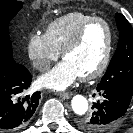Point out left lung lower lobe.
Instances as JSON below:
<instances>
[{
	"instance_id": "obj_1",
	"label": "left lung lower lobe",
	"mask_w": 133,
	"mask_h": 133,
	"mask_svg": "<svg viewBox=\"0 0 133 133\" xmlns=\"http://www.w3.org/2000/svg\"><path fill=\"white\" fill-rule=\"evenodd\" d=\"M99 95L103 96L102 102L94 103L93 113L90 115L88 123L94 129L87 131L90 133H100L112 126L120 117H122L132 98L131 93L122 89L107 88L99 90Z\"/></svg>"
}]
</instances>
